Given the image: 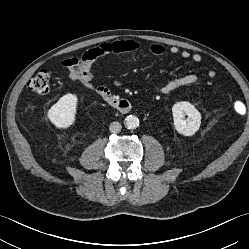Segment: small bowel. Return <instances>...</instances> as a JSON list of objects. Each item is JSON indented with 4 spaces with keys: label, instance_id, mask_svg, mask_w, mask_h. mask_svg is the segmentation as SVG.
I'll list each match as a JSON object with an SVG mask.
<instances>
[{
    "label": "small bowel",
    "instance_id": "c3829d8e",
    "mask_svg": "<svg viewBox=\"0 0 249 249\" xmlns=\"http://www.w3.org/2000/svg\"><path fill=\"white\" fill-rule=\"evenodd\" d=\"M142 45L132 39L114 40L103 42L100 45L87 51L82 57H70L64 60L63 64L67 69L68 77L73 81H78L86 88L96 92L102 96L104 93L110 91L109 88L103 84H94L93 82V67L95 63L102 59L113 55H139L143 53ZM172 55L179 54L183 59H188L199 63L202 61V56L198 53H192L187 50H180L177 46H171L168 49L161 43H154L149 47V52L156 56H161L166 52ZM209 78L216 76L214 69L207 71ZM199 77L196 74H187L175 79H172L162 85L158 92L166 95L179 88L194 85L198 82ZM114 85L119 87L122 82L119 79H114Z\"/></svg>",
    "mask_w": 249,
    "mask_h": 249
}]
</instances>
